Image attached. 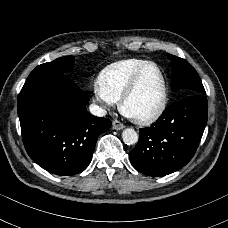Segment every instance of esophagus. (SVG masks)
<instances>
[{"label": "esophagus", "instance_id": "34e87169", "mask_svg": "<svg viewBox=\"0 0 228 228\" xmlns=\"http://www.w3.org/2000/svg\"><path fill=\"white\" fill-rule=\"evenodd\" d=\"M112 127L114 130H122L124 128V125L120 121L114 120Z\"/></svg>", "mask_w": 228, "mask_h": 228}]
</instances>
